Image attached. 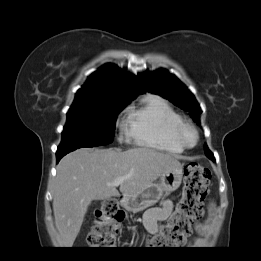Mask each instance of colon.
I'll return each instance as SVG.
<instances>
[{"mask_svg":"<svg viewBox=\"0 0 261 261\" xmlns=\"http://www.w3.org/2000/svg\"><path fill=\"white\" fill-rule=\"evenodd\" d=\"M211 172L199 164H189L184 170L180 200L171 216L151 239L153 248H173L182 244L191 233L192 223L202 214V203L208 193ZM126 215L112 199L104 201L95 212V223L87 237L92 248H114Z\"/></svg>","mask_w":261,"mask_h":261,"instance_id":"5ec220e1","label":"colon"}]
</instances>
